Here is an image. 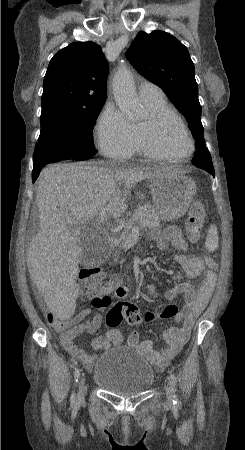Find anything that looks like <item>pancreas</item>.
<instances>
[{"instance_id": "1", "label": "pancreas", "mask_w": 245, "mask_h": 450, "mask_svg": "<svg viewBox=\"0 0 245 450\" xmlns=\"http://www.w3.org/2000/svg\"><path fill=\"white\" fill-rule=\"evenodd\" d=\"M134 226L138 228H158L160 226V217L154 208L149 205L139 206L125 223L121 234V247L127 248L132 243Z\"/></svg>"}]
</instances>
